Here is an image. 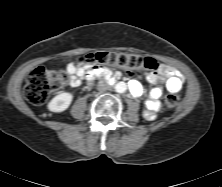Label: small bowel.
<instances>
[{
	"instance_id": "c3829d8e",
	"label": "small bowel",
	"mask_w": 222,
	"mask_h": 187,
	"mask_svg": "<svg viewBox=\"0 0 222 187\" xmlns=\"http://www.w3.org/2000/svg\"><path fill=\"white\" fill-rule=\"evenodd\" d=\"M66 70L69 74L70 86L72 87H78L89 76L87 68L78 63H69ZM143 76L147 82L157 85L150 90L143 111L145 119L151 121L156 118V113L159 110V98L163 93V88L171 92L181 90L184 84V77L178 70L166 64H160L156 71L145 72ZM129 88L130 93L134 97H139L143 94V87L137 80H132L129 83Z\"/></svg>"
}]
</instances>
